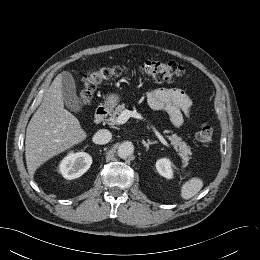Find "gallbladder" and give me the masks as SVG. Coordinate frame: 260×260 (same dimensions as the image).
<instances>
[{
  "instance_id": "1",
  "label": "gallbladder",
  "mask_w": 260,
  "mask_h": 260,
  "mask_svg": "<svg viewBox=\"0 0 260 260\" xmlns=\"http://www.w3.org/2000/svg\"><path fill=\"white\" fill-rule=\"evenodd\" d=\"M62 94L66 107L78 113L82 110L81 103L76 94V86L73 76L69 72H62Z\"/></svg>"
}]
</instances>
